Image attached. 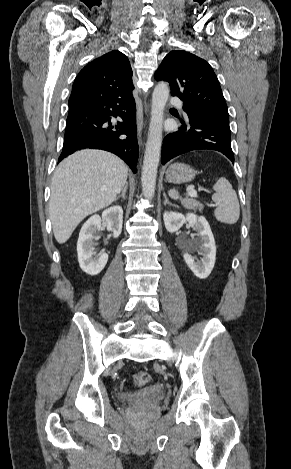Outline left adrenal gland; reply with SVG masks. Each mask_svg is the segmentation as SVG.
I'll use <instances>...</instances> for the list:
<instances>
[{
    "instance_id": "left-adrenal-gland-1",
    "label": "left adrenal gland",
    "mask_w": 291,
    "mask_h": 469,
    "mask_svg": "<svg viewBox=\"0 0 291 469\" xmlns=\"http://www.w3.org/2000/svg\"><path fill=\"white\" fill-rule=\"evenodd\" d=\"M163 196H164V205H166V204H169V205H171V206H175V207H177V205H175V204H172L171 202H169V200H168V198H167V196H166V193H165V192L163 193Z\"/></svg>"
}]
</instances>
